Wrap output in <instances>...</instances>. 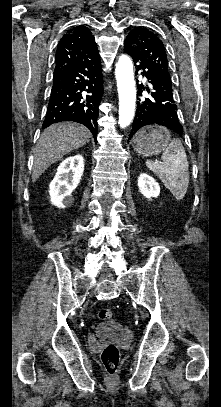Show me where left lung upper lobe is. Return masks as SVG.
<instances>
[{
  "label": "left lung upper lobe",
  "instance_id": "5c2ea615",
  "mask_svg": "<svg viewBox=\"0 0 221 407\" xmlns=\"http://www.w3.org/2000/svg\"><path fill=\"white\" fill-rule=\"evenodd\" d=\"M130 39L136 57L145 62L158 74L170 78L168 61L163 42L150 30L137 27L127 35Z\"/></svg>",
  "mask_w": 221,
  "mask_h": 407
}]
</instances>
